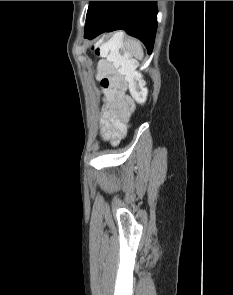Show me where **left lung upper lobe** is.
I'll use <instances>...</instances> for the list:
<instances>
[{
    "mask_svg": "<svg viewBox=\"0 0 233 295\" xmlns=\"http://www.w3.org/2000/svg\"><path fill=\"white\" fill-rule=\"evenodd\" d=\"M94 3H95V1H90V2H89V7H88V11H87V16H88V14H89V12H90V10H91V8H92V6H93Z\"/></svg>",
    "mask_w": 233,
    "mask_h": 295,
    "instance_id": "left-lung-upper-lobe-1",
    "label": "left lung upper lobe"
}]
</instances>
